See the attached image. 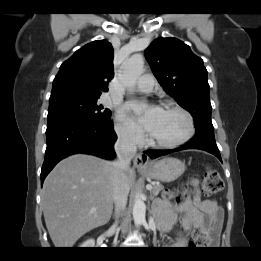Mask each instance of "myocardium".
<instances>
[{
  "label": "myocardium",
  "instance_id": "obj_1",
  "mask_svg": "<svg viewBox=\"0 0 261 261\" xmlns=\"http://www.w3.org/2000/svg\"><path fill=\"white\" fill-rule=\"evenodd\" d=\"M164 110L174 111L182 115L186 123V130L182 136L173 141H157L149 137L147 140L148 144L157 148H176L188 142L195 133V124L192 115L177 104H165Z\"/></svg>",
  "mask_w": 261,
  "mask_h": 261
}]
</instances>
